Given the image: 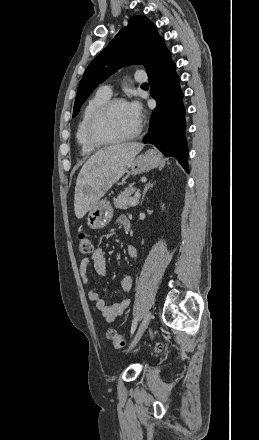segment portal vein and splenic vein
Listing matches in <instances>:
<instances>
[{
    "mask_svg": "<svg viewBox=\"0 0 259 440\" xmlns=\"http://www.w3.org/2000/svg\"><path fill=\"white\" fill-rule=\"evenodd\" d=\"M135 197H136V199L132 200L129 203V205L132 206V207H135V206L138 205V203H139V193H136Z\"/></svg>",
    "mask_w": 259,
    "mask_h": 440,
    "instance_id": "1",
    "label": "portal vein and splenic vein"
}]
</instances>
